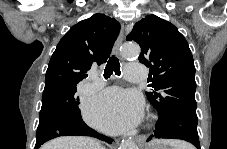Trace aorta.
I'll return each mask as SVG.
<instances>
[{
	"label": "aorta",
	"mask_w": 227,
	"mask_h": 149,
	"mask_svg": "<svg viewBox=\"0 0 227 149\" xmlns=\"http://www.w3.org/2000/svg\"><path fill=\"white\" fill-rule=\"evenodd\" d=\"M139 53H140V48L138 45H135V44H128L124 46L122 51L123 57L125 58L136 57L139 55ZM120 149H137V147L132 140L127 139L121 143Z\"/></svg>",
	"instance_id": "1"
}]
</instances>
